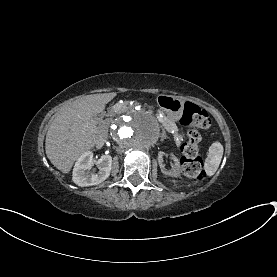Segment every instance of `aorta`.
<instances>
[{
    "label": "aorta",
    "instance_id": "obj_1",
    "mask_svg": "<svg viewBox=\"0 0 277 277\" xmlns=\"http://www.w3.org/2000/svg\"><path fill=\"white\" fill-rule=\"evenodd\" d=\"M110 131L113 140L127 149H149L160 136L157 120L138 110L116 119Z\"/></svg>",
    "mask_w": 277,
    "mask_h": 277
}]
</instances>
